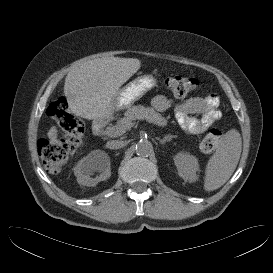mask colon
<instances>
[{"mask_svg":"<svg viewBox=\"0 0 273 273\" xmlns=\"http://www.w3.org/2000/svg\"><path fill=\"white\" fill-rule=\"evenodd\" d=\"M165 87L172 96L181 98L193 92L198 87V81L192 77L169 76L165 79ZM48 115L67 133L66 138L55 142L42 140L38 144L44 165L50 172L57 173L63 169L74 150L82 144L85 128L68 111V103L63 97L50 104ZM223 133L221 128L211 129L202 140L201 149L204 152L216 150L222 142Z\"/></svg>","mask_w":273,"mask_h":273,"instance_id":"colon-1","label":"colon"}]
</instances>
